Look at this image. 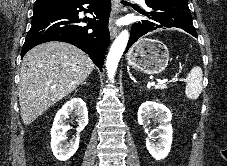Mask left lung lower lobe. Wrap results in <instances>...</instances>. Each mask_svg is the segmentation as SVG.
Returning <instances> with one entry per match:
<instances>
[{"instance_id":"obj_1","label":"left lung lower lobe","mask_w":227,"mask_h":166,"mask_svg":"<svg viewBox=\"0 0 227 166\" xmlns=\"http://www.w3.org/2000/svg\"><path fill=\"white\" fill-rule=\"evenodd\" d=\"M146 4L151 12H142L148 19L132 25L126 51L141 36L158 29L180 28L197 38L187 0H146Z\"/></svg>"}]
</instances>
